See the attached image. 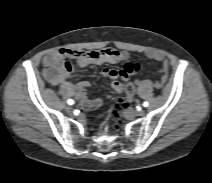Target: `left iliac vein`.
Returning <instances> with one entry per match:
<instances>
[{
  "label": "left iliac vein",
  "instance_id": "left-iliac-vein-1",
  "mask_svg": "<svg viewBox=\"0 0 212 183\" xmlns=\"http://www.w3.org/2000/svg\"><path fill=\"white\" fill-rule=\"evenodd\" d=\"M127 112H128L129 115H133L134 114V112L132 110H128ZM137 114L138 115H143L144 114V111L143 110H140L139 112H137Z\"/></svg>",
  "mask_w": 212,
  "mask_h": 183
}]
</instances>
